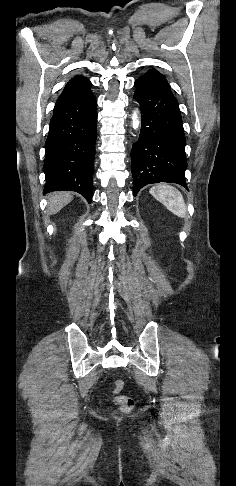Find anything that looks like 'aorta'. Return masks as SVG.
<instances>
[{
    "label": "aorta",
    "mask_w": 236,
    "mask_h": 486,
    "mask_svg": "<svg viewBox=\"0 0 236 486\" xmlns=\"http://www.w3.org/2000/svg\"><path fill=\"white\" fill-rule=\"evenodd\" d=\"M132 120H133V127H134V129H136L138 127V124H139L138 116H137V112L136 111L133 112Z\"/></svg>",
    "instance_id": "762f6f07"
}]
</instances>
